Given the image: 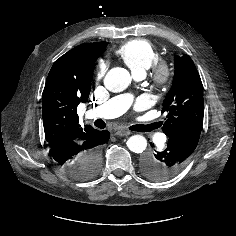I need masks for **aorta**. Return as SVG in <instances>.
Listing matches in <instances>:
<instances>
[{"label": "aorta", "instance_id": "762f6f07", "mask_svg": "<svg viewBox=\"0 0 236 236\" xmlns=\"http://www.w3.org/2000/svg\"><path fill=\"white\" fill-rule=\"evenodd\" d=\"M130 83V73L120 67L110 69L104 79L105 87L115 93L124 91ZM127 147L134 153H142L147 147V140L142 135H133L127 140Z\"/></svg>", "mask_w": 236, "mask_h": 236}]
</instances>
